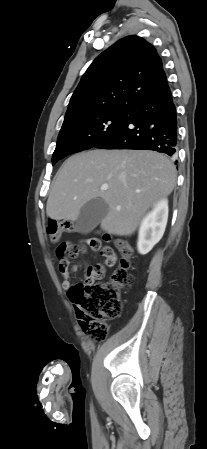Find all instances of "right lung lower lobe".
<instances>
[{
  "mask_svg": "<svg viewBox=\"0 0 207 449\" xmlns=\"http://www.w3.org/2000/svg\"><path fill=\"white\" fill-rule=\"evenodd\" d=\"M177 112L171 91L134 109L125 124L95 148L153 150L175 157Z\"/></svg>",
  "mask_w": 207,
  "mask_h": 449,
  "instance_id": "98d812e1",
  "label": "right lung lower lobe"
}]
</instances>
